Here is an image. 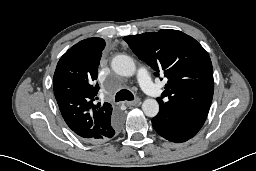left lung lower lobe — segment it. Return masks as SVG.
<instances>
[{
    "mask_svg": "<svg viewBox=\"0 0 256 171\" xmlns=\"http://www.w3.org/2000/svg\"><path fill=\"white\" fill-rule=\"evenodd\" d=\"M152 125L159 135L176 143L189 140L200 130L189 125L180 114L165 109H160Z\"/></svg>",
    "mask_w": 256,
    "mask_h": 171,
    "instance_id": "left-lung-lower-lobe-1",
    "label": "left lung lower lobe"
}]
</instances>
